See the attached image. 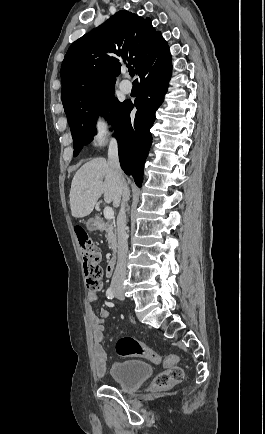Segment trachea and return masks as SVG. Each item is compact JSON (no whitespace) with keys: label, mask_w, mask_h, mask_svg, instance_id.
<instances>
[{"label":"trachea","mask_w":265,"mask_h":434,"mask_svg":"<svg viewBox=\"0 0 265 434\" xmlns=\"http://www.w3.org/2000/svg\"><path fill=\"white\" fill-rule=\"evenodd\" d=\"M134 73H135L134 69H129V74L131 75V77L134 76ZM136 82H138V80H134V83Z\"/></svg>","instance_id":"obj_1"}]
</instances>
